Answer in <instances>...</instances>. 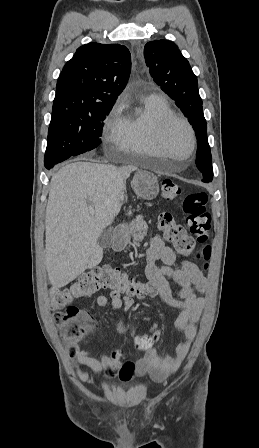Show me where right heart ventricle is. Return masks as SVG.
Wrapping results in <instances>:
<instances>
[{
  "label": "right heart ventricle",
  "mask_w": 259,
  "mask_h": 448,
  "mask_svg": "<svg viewBox=\"0 0 259 448\" xmlns=\"http://www.w3.org/2000/svg\"><path fill=\"white\" fill-rule=\"evenodd\" d=\"M137 107L121 103L116 114L124 136L122 163H141L140 156L147 150L157 149L156 129L159 121L174 113L166 96L154 89L140 94Z\"/></svg>",
  "instance_id": "1"
}]
</instances>
